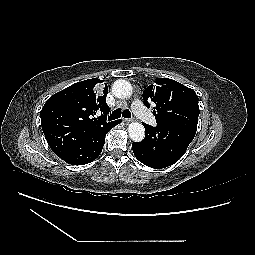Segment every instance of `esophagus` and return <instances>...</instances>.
I'll return each instance as SVG.
<instances>
[{
	"instance_id": "esophagus-1",
	"label": "esophagus",
	"mask_w": 255,
	"mask_h": 255,
	"mask_svg": "<svg viewBox=\"0 0 255 255\" xmlns=\"http://www.w3.org/2000/svg\"><path fill=\"white\" fill-rule=\"evenodd\" d=\"M123 121H124L126 124H128V123L132 122L133 120H132V119L124 118Z\"/></svg>"
}]
</instances>
